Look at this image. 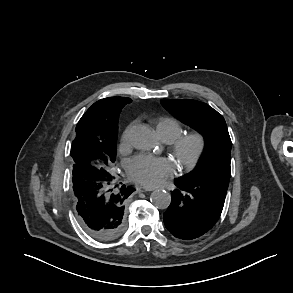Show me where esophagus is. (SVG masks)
<instances>
[{
    "label": "esophagus",
    "instance_id": "1",
    "mask_svg": "<svg viewBox=\"0 0 293 293\" xmlns=\"http://www.w3.org/2000/svg\"><path fill=\"white\" fill-rule=\"evenodd\" d=\"M156 189H157L156 187L142 186V187H139L137 190L139 192H145V191H154Z\"/></svg>",
    "mask_w": 293,
    "mask_h": 293
}]
</instances>
